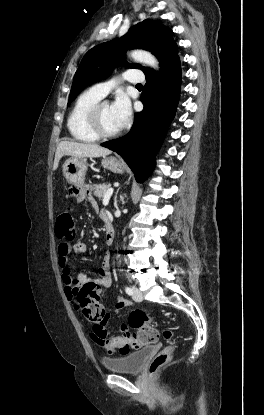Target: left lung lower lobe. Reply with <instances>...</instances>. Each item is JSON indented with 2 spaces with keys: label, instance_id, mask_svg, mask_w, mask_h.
<instances>
[{
  "label": "left lung lower lobe",
  "instance_id": "obj_1",
  "mask_svg": "<svg viewBox=\"0 0 264 415\" xmlns=\"http://www.w3.org/2000/svg\"><path fill=\"white\" fill-rule=\"evenodd\" d=\"M180 90L181 65L176 57L159 72L146 76L141 95L144 109L135 113L129 133L101 144L123 157L138 182L144 181L155 165L154 157L174 118Z\"/></svg>",
  "mask_w": 264,
  "mask_h": 415
}]
</instances>
